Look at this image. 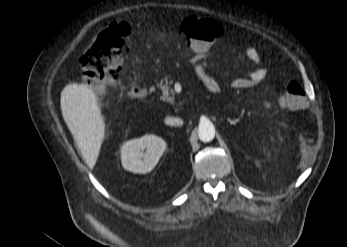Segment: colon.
Masks as SVG:
<instances>
[{"label": "colon", "instance_id": "obj_1", "mask_svg": "<svg viewBox=\"0 0 347 247\" xmlns=\"http://www.w3.org/2000/svg\"><path fill=\"white\" fill-rule=\"evenodd\" d=\"M180 36L194 51H208L223 37L221 25L212 19L189 16L179 25ZM132 28L127 22H114L88 46L80 60L83 80L101 97L119 78L123 50ZM282 108L301 110L307 99L301 83L288 82L278 100ZM269 106V104H266Z\"/></svg>", "mask_w": 347, "mask_h": 247}]
</instances>
